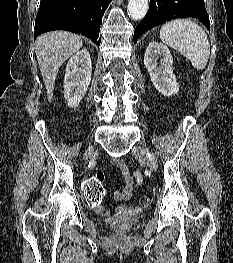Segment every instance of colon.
Masks as SVG:
<instances>
[{"mask_svg": "<svg viewBox=\"0 0 233 263\" xmlns=\"http://www.w3.org/2000/svg\"><path fill=\"white\" fill-rule=\"evenodd\" d=\"M94 176L91 178H84L82 186L85 190V199H87L88 208H97L101 204V200L104 196V188L102 185L103 176H106V171L101 169L94 170ZM151 203V199L148 196H142L140 204L142 207H148Z\"/></svg>", "mask_w": 233, "mask_h": 263, "instance_id": "5ec220e1", "label": "colon"}]
</instances>
